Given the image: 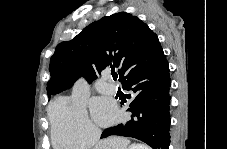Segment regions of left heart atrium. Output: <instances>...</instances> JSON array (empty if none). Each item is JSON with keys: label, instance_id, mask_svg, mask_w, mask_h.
<instances>
[{"label": "left heart atrium", "instance_id": "obj_1", "mask_svg": "<svg viewBox=\"0 0 227 149\" xmlns=\"http://www.w3.org/2000/svg\"><path fill=\"white\" fill-rule=\"evenodd\" d=\"M91 111L95 120L101 125L113 122L117 115L115 105L106 98H96L93 100Z\"/></svg>", "mask_w": 227, "mask_h": 149}]
</instances>
